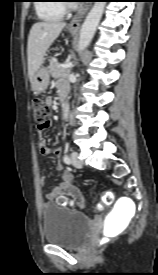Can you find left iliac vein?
<instances>
[{
    "label": "left iliac vein",
    "mask_w": 158,
    "mask_h": 275,
    "mask_svg": "<svg viewBox=\"0 0 158 275\" xmlns=\"http://www.w3.org/2000/svg\"><path fill=\"white\" fill-rule=\"evenodd\" d=\"M71 159H72V164H73L74 167L82 168L83 163H82V161L79 160L77 152H72L71 153Z\"/></svg>",
    "instance_id": "1"
}]
</instances>
